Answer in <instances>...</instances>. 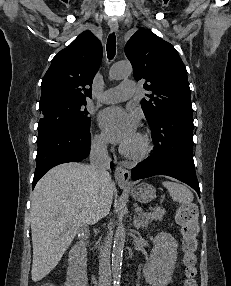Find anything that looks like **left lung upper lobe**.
<instances>
[{
  "label": "left lung upper lobe",
  "mask_w": 231,
  "mask_h": 286,
  "mask_svg": "<svg viewBox=\"0 0 231 286\" xmlns=\"http://www.w3.org/2000/svg\"><path fill=\"white\" fill-rule=\"evenodd\" d=\"M125 54L134 78L146 80L144 88L149 94L141 106L149 125L167 112L192 114L187 71L170 43L141 28L127 42Z\"/></svg>",
  "instance_id": "1"
}]
</instances>
